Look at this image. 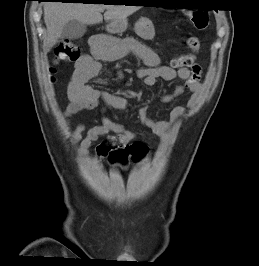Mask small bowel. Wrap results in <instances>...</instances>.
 Segmentation results:
<instances>
[{"label":"small bowel","instance_id":"small-bowel-1","mask_svg":"<svg viewBox=\"0 0 259 266\" xmlns=\"http://www.w3.org/2000/svg\"><path fill=\"white\" fill-rule=\"evenodd\" d=\"M91 53L83 55L75 64V71L68 85V96L70 102L65 110V115L71 117L82 110L96 108L103 102L108 108L114 110H124L127 101L115 94L102 90L93 89L88 82L95 78L100 69L101 61L113 60L126 54H133L144 65L137 71V76L144 80L148 86H153L158 79L171 81L176 77L183 80L170 94L163 95L161 101L169 103L181 96L185 92L190 93L188 108L195 106L200 94L201 67L194 64L190 69L173 68L162 65L158 54L146 45L133 38H114L111 36L97 35L91 39ZM102 116L101 124L93 126L86 131L85 125L79 124L73 133V141L80 144L79 153L86 158L92 143L104 136V139L96 146L95 154L99 161L110 158L112 152L125 148L134 142L137 132L125 128L124 126L112 121L107 116ZM186 112V107L175 106L170 113L169 120H155L147 112L146 107L139 110V117L142 124L156 134L160 139L167 138L168 130L171 125Z\"/></svg>","mask_w":259,"mask_h":266}]
</instances>
